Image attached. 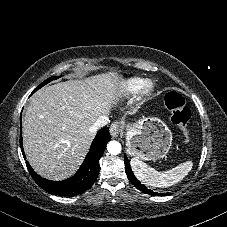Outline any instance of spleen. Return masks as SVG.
Instances as JSON below:
<instances>
[{"mask_svg":"<svg viewBox=\"0 0 227 227\" xmlns=\"http://www.w3.org/2000/svg\"><path fill=\"white\" fill-rule=\"evenodd\" d=\"M130 163L135 176L142 184L159 188L169 187L180 182L193 166L192 161H186L170 170L159 172L136 157L132 158Z\"/></svg>","mask_w":227,"mask_h":227,"instance_id":"spleen-1","label":"spleen"}]
</instances>
